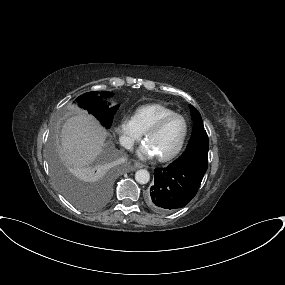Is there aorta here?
Listing matches in <instances>:
<instances>
[{"label": "aorta", "mask_w": 285, "mask_h": 285, "mask_svg": "<svg viewBox=\"0 0 285 285\" xmlns=\"http://www.w3.org/2000/svg\"><path fill=\"white\" fill-rule=\"evenodd\" d=\"M135 180L139 184H146L150 180V174L147 170L140 169V170L136 171V173H135Z\"/></svg>", "instance_id": "1"}]
</instances>
